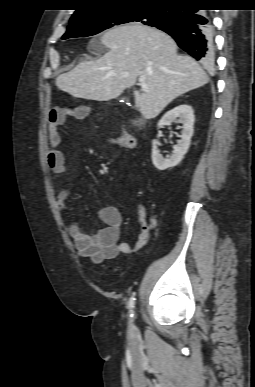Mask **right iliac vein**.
<instances>
[{
	"label": "right iliac vein",
	"instance_id": "right-iliac-vein-1",
	"mask_svg": "<svg viewBox=\"0 0 255 387\" xmlns=\"http://www.w3.org/2000/svg\"><path fill=\"white\" fill-rule=\"evenodd\" d=\"M130 326H131L130 331H131V332H134V330H135L134 325L131 323Z\"/></svg>",
	"mask_w": 255,
	"mask_h": 387
}]
</instances>
